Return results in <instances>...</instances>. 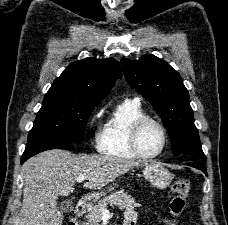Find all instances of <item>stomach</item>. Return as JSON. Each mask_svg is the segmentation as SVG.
I'll return each mask as SVG.
<instances>
[{
	"label": "stomach",
	"instance_id": "0dacf381",
	"mask_svg": "<svg viewBox=\"0 0 228 225\" xmlns=\"http://www.w3.org/2000/svg\"><path fill=\"white\" fill-rule=\"evenodd\" d=\"M142 173L144 175V179L149 181L150 185L155 187V189H166V187L171 185L173 181L171 173H169L167 169H164L160 163H154V161H151L149 165H145ZM108 191H113V187H110ZM98 195H101V197L106 195L105 189H103V191H99L93 199H98Z\"/></svg>",
	"mask_w": 228,
	"mask_h": 225
}]
</instances>
